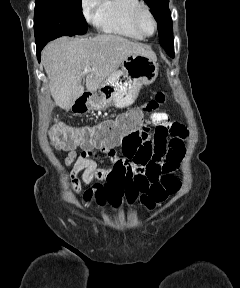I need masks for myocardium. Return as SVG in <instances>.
<instances>
[{
  "instance_id": "myocardium-1",
  "label": "myocardium",
  "mask_w": 240,
  "mask_h": 288,
  "mask_svg": "<svg viewBox=\"0 0 240 288\" xmlns=\"http://www.w3.org/2000/svg\"><path fill=\"white\" fill-rule=\"evenodd\" d=\"M143 12L148 13L149 16L151 17L153 23H154V31L149 35L144 34L141 31L140 26H139V17L141 15V13H143ZM130 20H131V24H132L133 28L135 29V31L138 32L143 38L152 37L153 35L156 34V32L158 30L157 18L155 16L154 12L152 11V9L146 4L140 3L139 5H137L131 13Z\"/></svg>"
}]
</instances>
